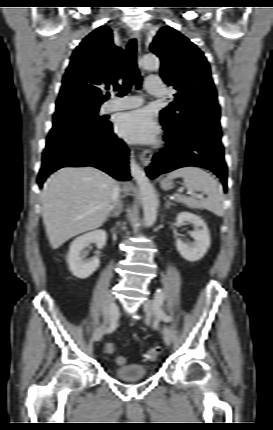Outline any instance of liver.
I'll return each mask as SVG.
<instances>
[{"label":"liver","instance_id":"6515ba94","mask_svg":"<svg viewBox=\"0 0 273 430\" xmlns=\"http://www.w3.org/2000/svg\"><path fill=\"white\" fill-rule=\"evenodd\" d=\"M115 185L114 178L91 166L61 168L48 178L41 193L42 217L53 249L102 226Z\"/></svg>","mask_w":273,"mask_h":430}]
</instances>
